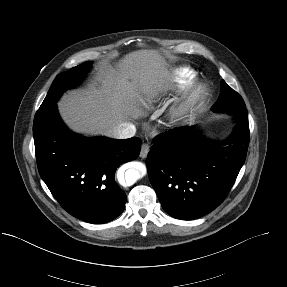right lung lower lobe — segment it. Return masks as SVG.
I'll list each match as a JSON object with an SVG mask.
<instances>
[{
  "label": "right lung lower lobe",
  "mask_w": 287,
  "mask_h": 287,
  "mask_svg": "<svg viewBox=\"0 0 287 287\" xmlns=\"http://www.w3.org/2000/svg\"><path fill=\"white\" fill-rule=\"evenodd\" d=\"M33 136L40 176L69 214L101 224L123 212L126 194L116 184L115 172L139 156V138H87L72 133L56 103L37 111Z\"/></svg>",
  "instance_id": "98d812e1"
}]
</instances>
